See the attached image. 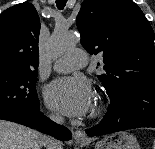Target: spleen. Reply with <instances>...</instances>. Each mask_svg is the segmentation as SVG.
I'll list each match as a JSON object with an SVG mask.
<instances>
[{
	"instance_id": "1",
	"label": "spleen",
	"mask_w": 155,
	"mask_h": 149,
	"mask_svg": "<svg viewBox=\"0 0 155 149\" xmlns=\"http://www.w3.org/2000/svg\"><path fill=\"white\" fill-rule=\"evenodd\" d=\"M153 149H155V140H154V144H153Z\"/></svg>"
}]
</instances>
